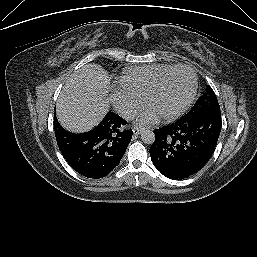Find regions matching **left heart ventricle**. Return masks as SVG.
Instances as JSON below:
<instances>
[{
    "label": "left heart ventricle",
    "mask_w": 257,
    "mask_h": 257,
    "mask_svg": "<svg viewBox=\"0 0 257 257\" xmlns=\"http://www.w3.org/2000/svg\"><path fill=\"white\" fill-rule=\"evenodd\" d=\"M191 84L189 71L181 69L171 73L152 97L149 107L159 115L172 112L186 99Z\"/></svg>",
    "instance_id": "b2bd125f"
}]
</instances>
